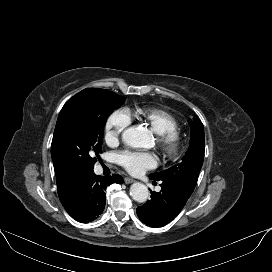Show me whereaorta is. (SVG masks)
Instances as JSON below:
<instances>
[{"label":"aorta","instance_id":"1","mask_svg":"<svg viewBox=\"0 0 272 272\" xmlns=\"http://www.w3.org/2000/svg\"><path fill=\"white\" fill-rule=\"evenodd\" d=\"M122 140L131 147L141 148L147 145L149 135L141 127H132L124 131ZM130 195L136 202L143 203L148 199L149 190L144 184L137 182L131 185Z\"/></svg>","mask_w":272,"mask_h":272}]
</instances>
